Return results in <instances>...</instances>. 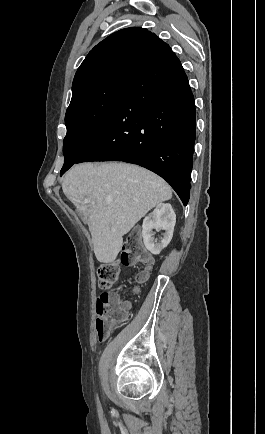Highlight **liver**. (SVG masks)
I'll return each mask as SVG.
<instances>
[{
	"mask_svg": "<svg viewBox=\"0 0 265 434\" xmlns=\"http://www.w3.org/2000/svg\"><path fill=\"white\" fill-rule=\"evenodd\" d=\"M62 190L88 224L94 254L102 264L116 260L124 234L149 210L172 198L162 178L131 164H78L65 174Z\"/></svg>",
	"mask_w": 265,
	"mask_h": 434,
	"instance_id": "liver-1",
	"label": "liver"
}]
</instances>
